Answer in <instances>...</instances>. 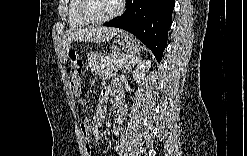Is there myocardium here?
<instances>
[{
    "instance_id": "obj_1",
    "label": "myocardium",
    "mask_w": 247,
    "mask_h": 156,
    "mask_svg": "<svg viewBox=\"0 0 247 156\" xmlns=\"http://www.w3.org/2000/svg\"><path fill=\"white\" fill-rule=\"evenodd\" d=\"M89 2L90 1L88 0H82L79 6V16L81 20L87 25H100V24L109 22L115 19L116 17H118L123 11V3L121 1H117V6L111 14L104 16V17H100V18L90 17L87 14Z\"/></svg>"
}]
</instances>
